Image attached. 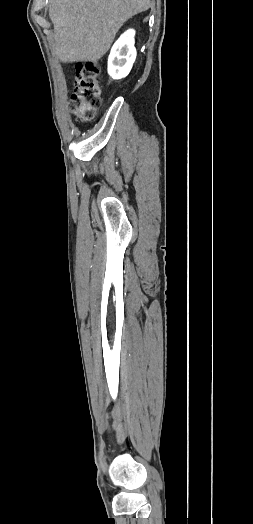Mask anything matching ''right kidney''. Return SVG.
Wrapping results in <instances>:
<instances>
[{"label": "right kidney", "instance_id": "ca27d5eb", "mask_svg": "<svg viewBox=\"0 0 253 524\" xmlns=\"http://www.w3.org/2000/svg\"><path fill=\"white\" fill-rule=\"evenodd\" d=\"M134 30H128L114 43L108 58V73L113 79L126 77L136 59Z\"/></svg>", "mask_w": 253, "mask_h": 524}]
</instances>
